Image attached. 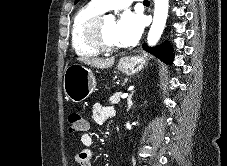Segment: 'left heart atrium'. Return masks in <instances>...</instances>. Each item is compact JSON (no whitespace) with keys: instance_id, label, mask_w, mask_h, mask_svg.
<instances>
[{"instance_id":"39dd6f15","label":"left heart atrium","mask_w":227,"mask_h":166,"mask_svg":"<svg viewBox=\"0 0 227 166\" xmlns=\"http://www.w3.org/2000/svg\"><path fill=\"white\" fill-rule=\"evenodd\" d=\"M144 29V18L137 12L127 11L117 21V37L120 43H134Z\"/></svg>"}]
</instances>
